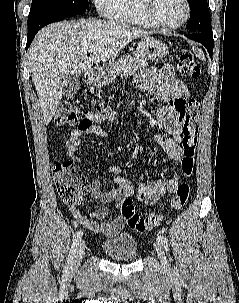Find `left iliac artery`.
<instances>
[{"label": "left iliac artery", "mask_w": 239, "mask_h": 303, "mask_svg": "<svg viewBox=\"0 0 239 303\" xmlns=\"http://www.w3.org/2000/svg\"><path fill=\"white\" fill-rule=\"evenodd\" d=\"M157 239L162 244V246L164 247V249L166 251H168L169 248H168V241H167V239L163 235H161V234L158 235Z\"/></svg>", "instance_id": "left-iliac-artery-1"}]
</instances>
